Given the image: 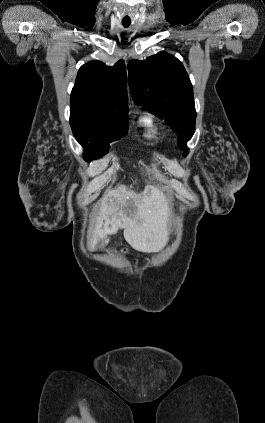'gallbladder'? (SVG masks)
<instances>
[{
	"instance_id": "bac80fb5",
	"label": "gallbladder",
	"mask_w": 265,
	"mask_h": 423,
	"mask_svg": "<svg viewBox=\"0 0 265 423\" xmlns=\"http://www.w3.org/2000/svg\"><path fill=\"white\" fill-rule=\"evenodd\" d=\"M107 243H108V239L104 240V241L102 242V245L107 244Z\"/></svg>"
}]
</instances>
